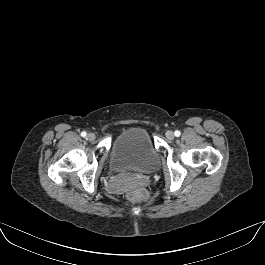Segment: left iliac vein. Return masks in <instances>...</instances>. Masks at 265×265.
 Wrapping results in <instances>:
<instances>
[{
    "instance_id": "1",
    "label": "left iliac vein",
    "mask_w": 265,
    "mask_h": 265,
    "mask_svg": "<svg viewBox=\"0 0 265 265\" xmlns=\"http://www.w3.org/2000/svg\"><path fill=\"white\" fill-rule=\"evenodd\" d=\"M165 135L169 140L174 138V133L171 130L166 131Z\"/></svg>"
}]
</instances>
